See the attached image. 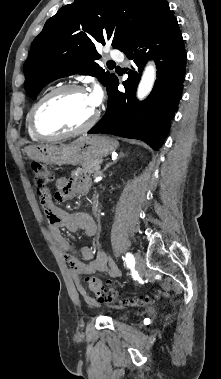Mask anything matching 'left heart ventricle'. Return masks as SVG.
<instances>
[{"label": "left heart ventricle", "instance_id": "b2bd125f", "mask_svg": "<svg viewBox=\"0 0 221 379\" xmlns=\"http://www.w3.org/2000/svg\"><path fill=\"white\" fill-rule=\"evenodd\" d=\"M89 95L67 92L49 100L38 114V126L46 134L75 129L89 120L95 111Z\"/></svg>", "mask_w": 221, "mask_h": 379}]
</instances>
